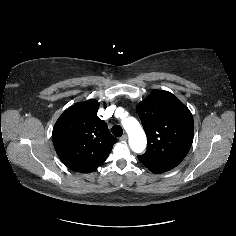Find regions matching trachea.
<instances>
[{
	"label": "trachea",
	"instance_id": "obj_1",
	"mask_svg": "<svg viewBox=\"0 0 236 236\" xmlns=\"http://www.w3.org/2000/svg\"><path fill=\"white\" fill-rule=\"evenodd\" d=\"M112 134L116 137H121L123 134V130L119 125H114L112 127Z\"/></svg>",
	"mask_w": 236,
	"mask_h": 236
}]
</instances>
